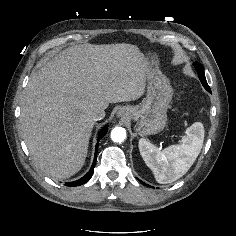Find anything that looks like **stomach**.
<instances>
[{"label": "stomach", "instance_id": "1", "mask_svg": "<svg viewBox=\"0 0 236 236\" xmlns=\"http://www.w3.org/2000/svg\"><path fill=\"white\" fill-rule=\"evenodd\" d=\"M148 59L152 69L147 76L146 97L140 105L125 107L129 110V118L136 121L134 129L141 136L157 134L164 129L173 96L169 79L156 68L157 54L149 53Z\"/></svg>", "mask_w": 236, "mask_h": 236}]
</instances>
